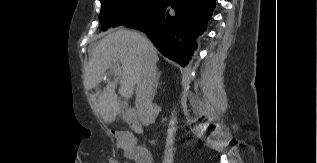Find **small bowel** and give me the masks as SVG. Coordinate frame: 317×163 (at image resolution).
<instances>
[{
	"instance_id": "1",
	"label": "small bowel",
	"mask_w": 317,
	"mask_h": 163,
	"mask_svg": "<svg viewBox=\"0 0 317 163\" xmlns=\"http://www.w3.org/2000/svg\"><path fill=\"white\" fill-rule=\"evenodd\" d=\"M121 141L124 143L125 155L127 158L133 160L135 163H153V159L149 152L144 156L136 155L135 151L133 150V146L127 136L122 135Z\"/></svg>"
}]
</instances>
